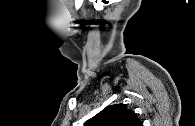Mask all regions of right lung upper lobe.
<instances>
[{
	"label": "right lung upper lobe",
	"instance_id": "right-lung-upper-lobe-1",
	"mask_svg": "<svg viewBox=\"0 0 195 126\" xmlns=\"http://www.w3.org/2000/svg\"><path fill=\"white\" fill-rule=\"evenodd\" d=\"M85 126H142V122L131 109L121 103L105 107L86 121Z\"/></svg>",
	"mask_w": 195,
	"mask_h": 126
}]
</instances>
